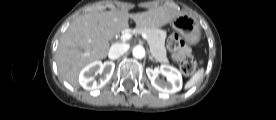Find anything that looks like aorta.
<instances>
[{"mask_svg": "<svg viewBox=\"0 0 276 120\" xmlns=\"http://www.w3.org/2000/svg\"><path fill=\"white\" fill-rule=\"evenodd\" d=\"M132 54L137 59H142L145 56V49L142 46H135L133 48Z\"/></svg>", "mask_w": 276, "mask_h": 120, "instance_id": "1", "label": "aorta"}]
</instances>
